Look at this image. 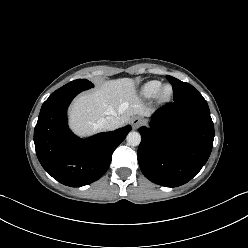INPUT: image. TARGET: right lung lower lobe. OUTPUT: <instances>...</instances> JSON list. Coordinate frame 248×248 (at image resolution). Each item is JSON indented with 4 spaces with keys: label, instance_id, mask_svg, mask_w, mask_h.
Here are the masks:
<instances>
[{
    "label": "right lung lower lobe",
    "instance_id": "right-lung-lower-lobe-1",
    "mask_svg": "<svg viewBox=\"0 0 248 248\" xmlns=\"http://www.w3.org/2000/svg\"><path fill=\"white\" fill-rule=\"evenodd\" d=\"M82 88L58 89L43 103L34 130L35 150L43 168L60 183L81 187L107 171L114 150L131 126L81 139L67 125V108Z\"/></svg>",
    "mask_w": 248,
    "mask_h": 248
}]
</instances>
